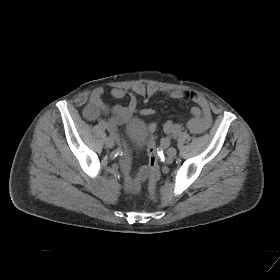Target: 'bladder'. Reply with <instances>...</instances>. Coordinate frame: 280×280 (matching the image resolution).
Listing matches in <instances>:
<instances>
[{
    "label": "bladder",
    "mask_w": 280,
    "mask_h": 280,
    "mask_svg": "<svg viewBox=\"0 0 280 280\" xmlns=\"http://www.w3.org/2000/svg\"><path fill=\"white\" fill-rule=\"evenodd\" d=\"M125 131L130 143L135 148L143 147L148 136V129L143 121L139 119L129 120L125 125Z\"/></svg>",
    "instance_id": "1"
}]
</instances>
